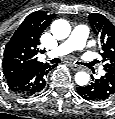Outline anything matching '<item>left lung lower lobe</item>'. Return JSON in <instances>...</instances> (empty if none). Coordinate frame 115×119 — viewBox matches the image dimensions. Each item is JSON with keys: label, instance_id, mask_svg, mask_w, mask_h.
Here are the masks:
<instances>
[{"label": "left lung lower lobe", "instance_id": "left-lung-lower-lobe-1", "mask_svg": "<svg viewBox=\"0 0 115 119\" xmlns=\"http://www.w3.org/2000/svg\"><path fill=\"white\" fill-rule=\"evenodd\" d=\"M77 92L86 100L104 101L115 94V76L105 74L90 85L77 87Z\"/></svg>", "mask_w": 115, "mask_h": 119}]
</instances>
